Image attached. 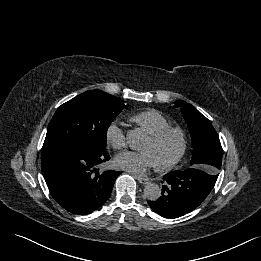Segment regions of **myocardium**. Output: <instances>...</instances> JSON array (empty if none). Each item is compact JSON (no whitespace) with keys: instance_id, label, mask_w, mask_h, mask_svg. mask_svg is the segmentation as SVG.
<instances>
[{"instance_id":"f54148a6","label":"myocardium","mask_w":261,"mask_h":261,"mask_svg":"<svg viewBox=\"0 0 261 261\" xmlns=\"http://www.w3.org/2000/svg\"><path fill=\"white\" fill-rule=\"evenodd\" d=\"M170 136H176L179 139L180 146L177 154L171 160L157 165V169L162 172L171 170L184 158L188 148L187 134L181 127L169 126L149 136V139L156 144L162 143Z\"/></svg>"}]
</instances>
